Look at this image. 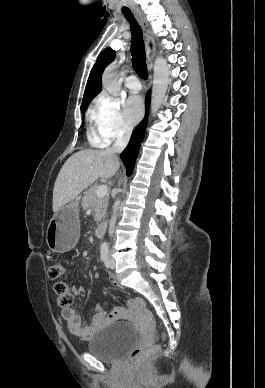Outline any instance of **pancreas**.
<instances>
[{"instance_id":"obj_1","label":"pancreas","mask_w":265,"mask_h":388,"mask_svg":"<svg viewBox=\"0 0 265 388\" xmlns=\"http://www.w3.org/2000/svg\"><path fill=\"white\" fill-rule=\"evenodd\" d=\"M98 186L95 184V186H91L89 190H86L84 192L85 196L82 198V208L83 210H93L94 212V220L95 222H99L101 218H104L106 214V210L108 208V198L109 194H106V196H103V198H97L96 196V190Z\"/></svg>"}]
</instances>
